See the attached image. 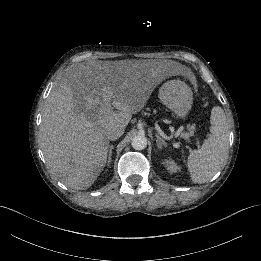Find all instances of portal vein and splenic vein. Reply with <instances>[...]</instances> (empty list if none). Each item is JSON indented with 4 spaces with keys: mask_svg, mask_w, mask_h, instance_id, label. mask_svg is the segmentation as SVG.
<instances>
[{
    "mask_svg": "<svg viewBox=\"0 0 261 261\" xmlns=\"http://www.w3.org/2000/svg\"><path fill=\"white\" fill-rule=\"evenodd\" d=\"M178 136H179V137H178ZM179 138L184 139V140H187V139H188V136H187V135H184V134H181V133H177V136L174 137V140H175V141H178ZM184 140H181L180 143L174 142V143H173V146L176 147V148H179V147H180V144H183V143H184Z\"/></svg>",
    "mask_w": 261,
    "mask_h": 261,
    "instance_id": "portal-vein-and-splenic-vein-1",
    "label": "portal vein and splenic vein"
}]
</instances>
